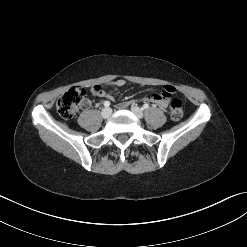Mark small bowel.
<instances>
[{
	"mask_svg": "<svg viewBox=\"0 0 247 247\" xmlns=\"http://www.w3.org/2000/svg\"><path fill=\"white\" fill-rule=\"evenodd\" d=\"M125 80L124 79H116L113 81V85L116 86V87H123L125 85ZM95 86H93L91 88L92 90V93L95 95V96H98V97H103V98H108V99H113V95L106 92L105 90H103L102 88H99V89H96ZM175 89L173 86L171 85H165L162 89V92L159 93V94H156V93H149L145 96H143V99L145 100H149L151 101L152 103L160 106L161 108H167L168 105H169V102H170V97L171 95L174 93ZM89 103L88 102H85V105L87 106ZM127 106V103L126 102H123V103H120L119 104V107L120 108H124Z\"/></svg>",
	"mask_w": 247,
	"mask_h": 247,
	"instance_id": "small-bowel-1",
	"label": "small bowel"
}]
</instances>
